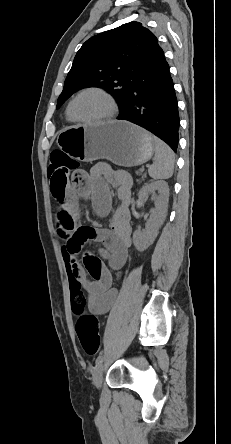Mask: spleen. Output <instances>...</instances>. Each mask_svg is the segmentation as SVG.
I'll return each mask as SVG.
<instances>
[{"mask_svg": "<svg viewBox=\"0 0 231 444\" xmlns=\"http://www.w3.org/2000/svg\"><path fill=\"white\" fill-rule=\"evenodd\" d=\"M155 161L149 166L148 173L155 179H168L173 175L175 167V154L162 140L153 137Z\"/></svg>", "mask_w": 231, "mask_h": 444, "instance_id": "3e777b00", "label": "spleen"}]
</instances>
